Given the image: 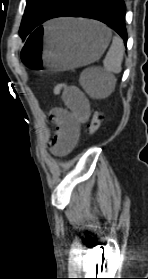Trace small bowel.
<instances>
[{"mask_svg": "<svg viewBox=\"0 0 148 279\" xmlns=\"http://www.w3.org/2000/svg\"><path fill=\"white\" fill-rule=\"evenodd\" d=\"M65 108H55L51 118L56 126V133L51 142V150L56 156L69 154L80 137V125L90 115V106L85 95L77 88H67L63 93Z\"/></svg>", "mask_w": 148, "mask_h": 279, "instance_id": "small-bowel-1", "label": "small bowel"}]
</instances>
